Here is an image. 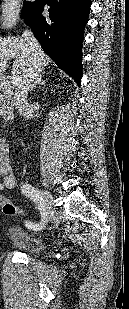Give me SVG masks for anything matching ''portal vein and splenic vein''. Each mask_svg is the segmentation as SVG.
<instances>
[{
	"label": "portal vein and splenic vein",
	"instance_id": "18ae733b",
	"mask_svg": "<svg viewBox=\"0 0 129 309\" xmlns=\"http://www.w3.org/2000/svg\"><path fill=\"white\" fill-rule=\"evenodd\" d=\"M12 83L13 84H18V82H20V79L18 78V77H16V76H12Z\"/></svg>",
	"mask_w": 129,
	"mask_h": 309
}]
</instances>
